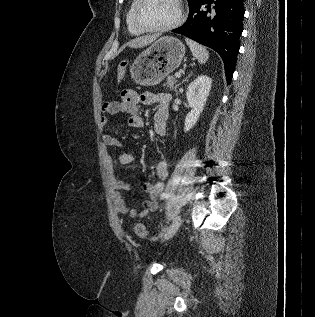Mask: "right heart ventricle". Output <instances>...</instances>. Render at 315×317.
<instances>
[{"label": "right heart ventricle", "instance_id": "obj_1", "mask_svg": "<svg viewBox=\"0 0 315 317\" xmlns=\"http://www.w3.org/2000/svg\"><path fill=\"white\" fill-rule=\"evenodd\" d=\"M135 2L136 0H133L130 7H129V10L126 14V24H127V28H128V31L132 34V35H140L142 32L139 31L133 24V21H132V11H133V7L135 5Z\"/></svg>", "mask_w": 315, "mask_h": 317}]
</instances>
